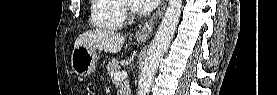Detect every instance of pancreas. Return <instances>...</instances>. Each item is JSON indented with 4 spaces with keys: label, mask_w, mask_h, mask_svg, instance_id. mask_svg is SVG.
Here are the masks:
<instances>
[{
    "label": "pancreas",
    "mask_w": 277,
    "mask_h": 95,
    "mask_svg": "<svg viewBox=\"0 0 277 95\" xmlns=\"http://www.w3.org/2000/svg\"><path fill=\"white\" fill-rule=\"evenodd\" d=\"M119 68V62L116 59H113L107 65V71L110 76V79L112 80V82L116 84V87L118 88V95H128L130 93L129 83L127 81H116L114 79V75L116 72L119 71Z\"/></svg>",
    "instance_id": "pancreas-1"
}]
</instances>
